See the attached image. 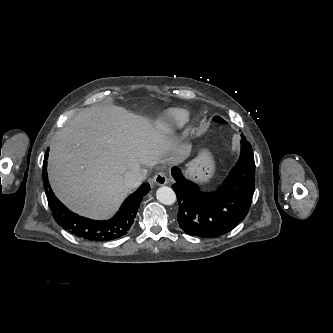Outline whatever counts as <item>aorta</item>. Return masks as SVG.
Instances as JSON below:
<instances>
[{"instance_id": "obj_1", "label": "aorta", "mask_w": 333, "mask_h": 333, "mask_svg": "<svg viewBox=\"0 0 333 333\" xmlns=\"http://www.w3.org/2000/svg\"><path fill=\"white\" fill-rule=\"evenodd\" d=\"M156 197L159 202L165 205H172L176 201V194L172 188L168 186L160 187L156 192Z\"/></svg>"}]
</instances>
